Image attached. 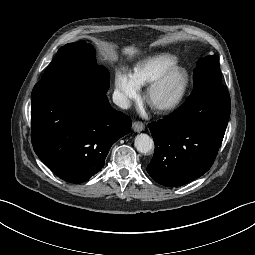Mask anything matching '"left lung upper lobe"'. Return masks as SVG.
<instances>
[{"instance_id":"1","label":"left lung upper lobe","mask_w":255,"mask_h":255,"mask_svg":"<svg viewBox=\"0 0 255 255\" xmlns=\"http://www.w3.org/2000/svg\"><path fill=\"white\" fill-rule=\"evenodd\" d=\"M213 76L221 80V72L219 67V60L216 55L207 56L198 62L194 71V84L198 83L205 77Z\"/></svg>"}]
</instances>
